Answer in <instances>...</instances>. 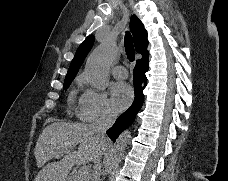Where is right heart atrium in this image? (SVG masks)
I'll list each match as a JSON object with an SVG mask.
<instances>
[{"label":"right heart atrium","instance_id":"1","mask_svg":"<svg viewBox=\"0 0 228 181\" xmlns=\"http://www.w3.org/2000/svg\"><path fill=\"white\" fill-rule=\"evenodd\" d=\"M112 114V104L100 90L88 89L80 99L79 117L87 122L107 118Z\"/></svg>","mask_w":228,"mask_h":181}]
</instances>
